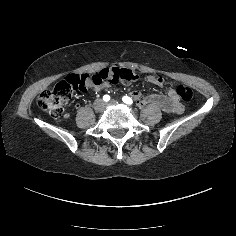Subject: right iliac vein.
<instances>
[{"label":"right iliac vein","instance_id":"63e3f726","mask_svg":"<svg viewBox=\"0 0 236 236\" xmlns=\"http://www.w3.org/2000/svg\"><path fill=\"white\" fill-rule=\"evenodd\" d=\"M95 105H96V108L100 109L104 106V103L102 100L99 99L96 101Z\"/></svg>","mask_w":236,"mask_h":236}]
</instances>
